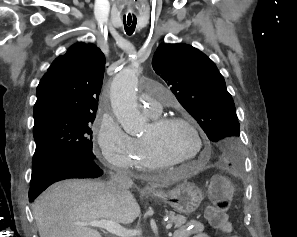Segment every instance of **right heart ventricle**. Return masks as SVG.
Masks as SVG:
<instances>
[{
	"label": "right heart ventricle",
	"instance_id": "obj_1",
	"mask_svg": "<svg viewBox=\"0 0 297 237\" xmlns=\"http://www.w3.org/2000/svg\"><path fill=\"white\" fill-rule=\"evenodd\" d=\"M134 140L136 145V161L134 164V168L144 171L161 168V166H158L155 163V161L150 157L146 149V146L142 141V138Z\"/></svg>",
	"mask_w": 297,
	"mask_h": 237
}]
</instances>
